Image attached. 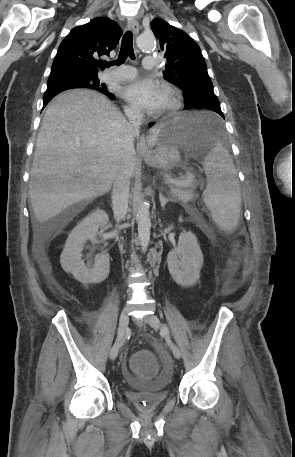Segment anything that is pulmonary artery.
Listing matches in <instances>:
<instances>
[{"label": "pulmonary artery", "instance_id": "pulmonary-artery-1", "mask_svg": "<svg viewBox=\"0 0 295 457\" xmlns=\"http://www.w3.org/2000/svg\"><path fill=\"white\" fill-rule=\"evenodd\" d=\"M157 65V59L154 56H146L143 59V67L145 69H154ZM136 75V70L132 66H120L117 69L107 71L102 74L101 78L104 81H126Z\"/></svg>", "mask_w": 295, "mask_h": 457}]
</instances>
